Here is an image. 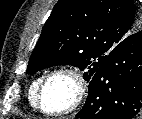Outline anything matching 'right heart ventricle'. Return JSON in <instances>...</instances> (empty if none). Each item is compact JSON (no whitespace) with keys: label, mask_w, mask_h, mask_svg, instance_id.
<instances>
[{"label":"right heart ventricle","mask_w":142,"mask_h":119,"mask_svg":"<svg viewBox=\"0 0 142 119\" xmlns=\"http://www.w3.org/2000/svg\"><path fill=\"white\" fill-rule=\"evenodd\" d=\"M42 78H37L35 79L30 87H29V90H28V101L31 105L32 108H35L36 105H35V95H36V92H37V89L39 87V84L41 82Z\"/></svg>","instance_id":"e07e8e85"}]
</instances>
